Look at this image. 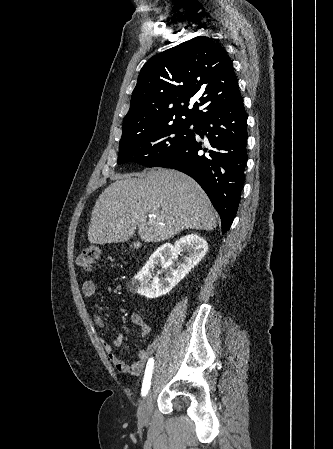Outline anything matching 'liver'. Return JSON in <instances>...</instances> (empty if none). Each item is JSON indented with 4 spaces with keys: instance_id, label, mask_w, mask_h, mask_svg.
Returning <instances> with one entry per match:
<instances>
[{
    "instance_id": "1",
    "label": "liver",
    "mask_w": 333,
    "mask_h": 449,
    "mask_svg": "<svg viewBox=\"0 0 333 449\" xmlns=\"http://www.w3.org/2000/svg\"><path fill=\"white\" fill-rule=\"evenodd\" d=\"M153 214L147 223V215ZM212 204L199 184L170 169H151L119 177L92 210L88 240L93 244L129 240L138 228L144 242H160L184 229L214 230Z\"/></svg>"
}]
</instances>
